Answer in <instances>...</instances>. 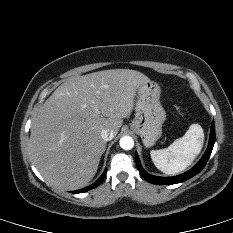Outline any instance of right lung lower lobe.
<instances>
[{
  "label": "right lung lower lobe",
  "instance_id": "right-lung-lower-lobe-1",
  "mask_svg": "<svg viewBox=\"0 0 233 233\" xmlns=\"http://www.w3.org/2000/svg\"><path fill=\"white\" fill-rule=\"evenodd\" d=\"M106 172H107V169L105 170L103 175L95 183H93L92 185H90L88 187H85L83 189H80V190L72 191V193H82V192H86L88 190H91V189L97 187L103 181V179H104V177L106 175Z\"/></svg>",
  "mask_w": 233,
  "mask_h": 233
}]
</instances>
